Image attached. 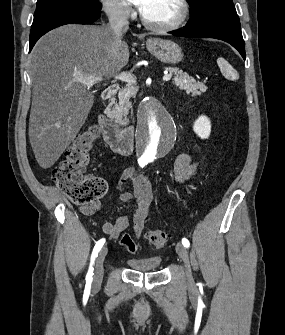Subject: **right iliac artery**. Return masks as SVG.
Instances as JSON below:
<instances>
[{"label": "right iliac artery", "instance_id": "right-iliac-artery-1", "mask_svg": "<svg viewBox=\"0 0 285 335\" xmlns=\"http://www.w3.org/2000/svg\"><path fill=\"white\" fill-rule=\"evenodd\" d=\"M147 164V162H141L139 163V165L143 168L145 165ZM105 243V239H100L98 242H96V245L94 246V249H93V252H92V255H91V263H90V267H89V270H88V273L86 275V281L88 282H92V275H93V264H94V261H95V258L97 257L98 255V252L101 250L102 246L104 245Z\"/></svg>", "mask_w": 285, "mask_h": 335}]
</instances>
